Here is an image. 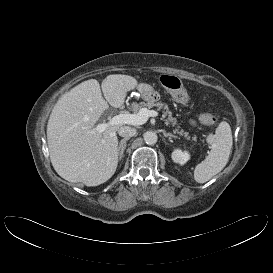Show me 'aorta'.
Segmentation results:
<instances>
[{
    "label": "aorta",
    "instance_id": "1",
    "mask_svg": "<svg viewBox=\"0 0 273 273\" xmlns=\"http://www.w3.org/2000/svg\"><path fill=\"white\" fill-rule=\"evenodd\" d=\"M143 137H144L145 143L148 144V145H153L158 140L157 134L155 132H153V131L145 132Z\"/></svg>",
    "mask_w": 273,
    "mask_h": 273
}]
</instances>
